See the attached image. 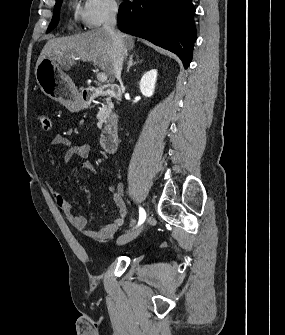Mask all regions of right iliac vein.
<instances>
[{"mask_svg":"<svg viewBox=\"0 0 285 335\" xmlns=\"http://www.w3.org/2000/svg\"><path fill=\"white\" fill-rule=\"evenodd\" d=\"M141 228H137L135 230H133L132 232H129L127 234H124L122 236H120L117 240V244L119 245H123L126 244L132 240H134L135 238H137L139 236V234L141 233Z\"/></svg>","mask_w":285,"mask_h":335,"instance_id":"1","label":"right iliac vein"}]
</instances>
